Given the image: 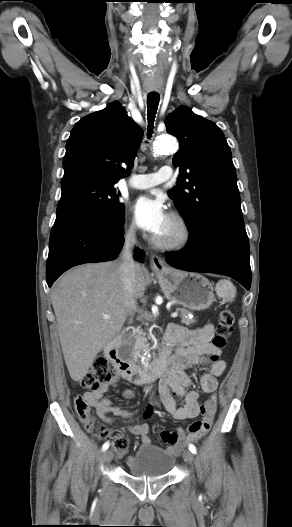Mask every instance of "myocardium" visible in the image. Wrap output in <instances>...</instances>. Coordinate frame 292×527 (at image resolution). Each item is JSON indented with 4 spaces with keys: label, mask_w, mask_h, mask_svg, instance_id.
Listing matches in <instances>:
<instances>
[{
    "label": "myocardium",
    "mask_w": 292,
    "mask_h": 527,
    "mask_svg": "<svg viewBox=\"0 0 292 527\" xmlns=\"http://www.w3.org/2000/svg\"><path fill=\"white\" fill-rule=\"evenodd\" d=\"M169 220L174 226V234L168 238H160L155 236L152 238V243L161 249H181L185 247L191 240V227L186 218L176 212L170 214Z\"/></svg>",
    "instance_id": "f54148a6"
}]
</instances>
